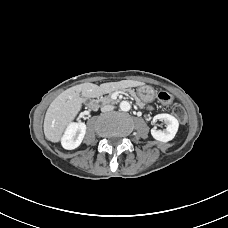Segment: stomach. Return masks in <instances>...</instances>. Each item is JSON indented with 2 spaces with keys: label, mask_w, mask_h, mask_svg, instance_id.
<instances>
[{
  "label": "stomach",
  "mask_w": 228,
  "mask_h": 228,
  "mask_svg": "<svg viewBox=\"0 0 228 228\" xmlns=\"http://www.w3.org/2000/svg\"><path fill=\"white\" fill-rule=\"evenodd\" d=\"M137 95L143 102L148 103L155 99L156 94L151 86L142 85L137 88Z\"/></svg>",
  "instance_id": "stomach-1"
}]
</instances>
